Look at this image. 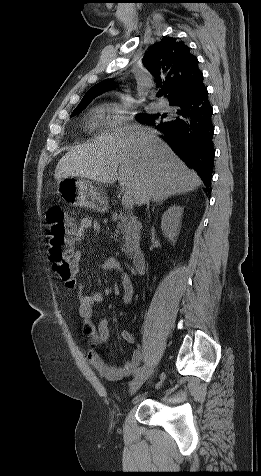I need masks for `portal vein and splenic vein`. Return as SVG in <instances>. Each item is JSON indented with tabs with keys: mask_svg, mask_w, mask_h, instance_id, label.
Here are the masks:
<instances>
[{
	"mask_svg": "<svg viewBox=\"0 0 261 476\" xmlns=\"http://www.w3.org/2000/svg\"><path fill=\"white\" fill-rule=\"evenodd\" d=\"M122 205L126 209H130L134 205L133 197L130 192H125L122 197Z\"/></svg>",
	"mask_w": 261,
	"mask_h": 476,
	"instance_id": "portal-vein-and-splenic-vein-1",
	"label": "portal vein and splenic vein"
}]
</instances>
